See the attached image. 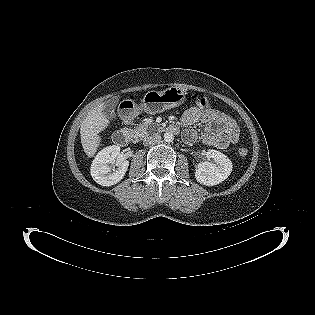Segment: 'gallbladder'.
I'll use <instances>...</instances> for the list:
<instances>
[{
	"instance_id": "1",
	"label": "gallbladder",
	"mask_w": 315,
	"mask_h": 315,
	"mask_svg": "<svg viewBox=\"0 0 315 315\" xmlns=\"http://www.w3.org/2000/svg\"><path fill=\"white\" fill-rule=\"evenodd\" d=\"M116 104V101H109L105 107H104V110H103V114L105 115L106 118L108 119H113L115 118V112H114V106Z\"/></svg>"
}]
</instances>
